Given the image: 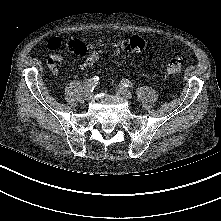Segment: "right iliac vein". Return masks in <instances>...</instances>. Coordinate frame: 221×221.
Listing matches in <instances>:
<instances>
[{"label":"right iliac vein","instance_id":"obj_1","mask_svg":"<svg viewBox=\"0 0 221 221\" xmlns=\"http://www.w3.org/2000/svg\"><path fill=\"white\" fill-rule=\"evenodd\" d=\"M92 95H93V93L91 91H89V90L85 91V99L86 100L91 99Z\"/></svg>","mask_w":221,"mask_h":221}]
</instances>
